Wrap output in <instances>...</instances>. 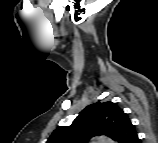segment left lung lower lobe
<instances>
[{
  "label": "left lung lower lobe",
  "instance_id": "0a47b994",
  "mask_svg": "<svg viewBox=\"0 0 158 143\" xmlns=\"http://www.w3.org/2000/svg\"><path fill=\"white\" fill-rule=\"evenodd\" d=\"M139 139L138 136L136 135L135 138L131 141V143H138Z\"/></svg>",
  "mask_w": 158,
  "mask_h": 143
}]
</instances>
